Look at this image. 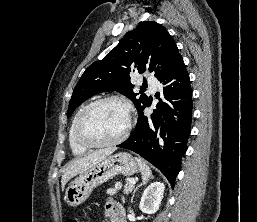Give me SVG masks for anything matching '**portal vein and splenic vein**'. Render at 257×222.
Instances as JSON below:
<instances>
[{
    "instance_id": "1",
    "label": "portal vein and splenic vein",
    "mask_w": 257,
    "mask_h": 222,
    "mask_svg": "<svg viewBox=\"0 0 257 222\" xmlns=\"http://www.w3.org/2000/svg\"><path fill=\"white\" fill-rule=\"evenodd\" d=\"M129 182L131 183V184H135L136 183V181L134 180V179H129Z\"/></svg>"
}]
</instances>
